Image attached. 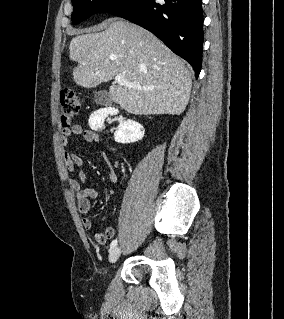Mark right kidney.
<instances>
[{"mask_svg":"<svg viewBox=\"0 0 284 319\" xmlns=\"http://www.w3.org/2000/svg\"><path fill=\"white\" fill-rule=\"evenodd\" d=\"M109 110L100 109L91 114L89 118V126L92 130H99L102 128L105 118ZM145 130L138 122L128 119L121 121L114 133V139L118 143H134L141 140L144 136Z\"/></svg>","mask_w":284,"mask_h":319,"instance_id":"ca27d5eb","label":"right kidney"}]
</instances>
